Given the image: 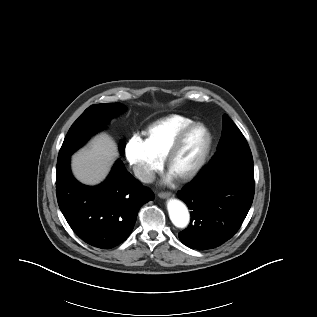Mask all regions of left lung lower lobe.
Masks as SVG:
<instances>
[{"mask_svg": "<svg viewBox=\"0 0 317 317\" xmlns=\"http://www.w3.org/2000/svg\"><path fill=\"white\" fill-rule=\"evenodd\" d=\"M253 163L229 159L211 162L177 193L192 210L191 224L179 233L181 242L197 250L212 249L232 238L254 198Z\"/></svg>", "mask_w": 317, "mask_h": 317, "instance_id": "0a47b994", "label": "left lung lower lobe"}]
</instances>
